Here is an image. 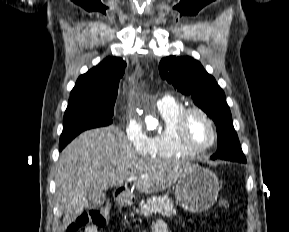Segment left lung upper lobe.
<instances>
[{
    "label": "left lung upper lobe",
    "mask_w": 289,
    "mask_h": 232,
    "mask_svg": "<svg viewBox=\"0 0 289 232\" xmlns=\"http://www.w3.org/2000/svg\"><path fill=\"white\" fill-rule=\"evenodd\" d=\"M159 72L161 77L176 90L192 96L194 103L214 120L217 127L218 149L211 158L246 161L233 127L225 94L200 62L188 56H168L160 61Z\"/></svg>",
    "instance_id": "5c2ea615"
}]
</instances>
